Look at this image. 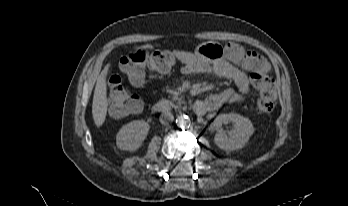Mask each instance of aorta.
Segmentation results:
<instances>
[{
	"label": "aorta",
	"mask_w": 348,
	"mask_h": 206,
	"mask_svg": "<svg viewBox=\"0 0 348 206\" xmlns=\"http://www.w3.org/2000/svg\"><path fill=\"white\" fill-rule=\"evenodd\" d=\"M190 119L187 115H180L176 118V125L179 128H185L189 125Z\"/></svg>",
	"instance_id": "1"
}]
</instances>
